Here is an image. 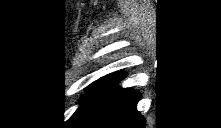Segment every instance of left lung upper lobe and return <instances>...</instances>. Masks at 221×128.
Masks as SVG:
<instances>
[{"label":"left lung upper lobe","mask_w":221,"mask_h":128,"mask_svg":"<svg viewBox=\"0 0 221 128\" xmlns=\"http://www.w3.org/2000/svg\"><path fill=\"white\" fill-rule=\"evenodd\" d=\"M124 77L125 73L123 72L111 73L104 77H101L93 84H91L86 90L87 97L83 96V98L81 99V105L76 110V112L70 117V119L77 116L78 114L83 112L86 108L94 104Z\"/></svg>","instance_id":"obj_1"}]
</instances>
